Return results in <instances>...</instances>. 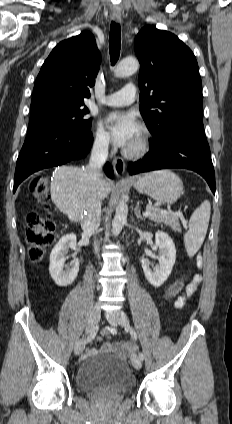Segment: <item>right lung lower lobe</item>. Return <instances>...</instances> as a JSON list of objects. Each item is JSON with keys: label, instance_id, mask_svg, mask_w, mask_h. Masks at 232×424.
I'll return each instance as SVG.
<instances>
[{"label": "right lung lower lobe", "instance_id": "1", "mask_svg": "<svg viewBox=\"0 0 232 424\" xmlns=\"http://www.w3.org/2000/svg\"><path fill=\"white\" fill-rule=\"evenodd\" d=\"M92 142L90 131L70 132L52 128L28 131L16 163L13 192L25 178L38 170L85 157ZM105 172L112 177L109 163L105 165Z\"/></svg>", "mask_w": 232, "mask_h": 424}]
</instances>
